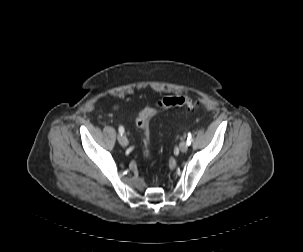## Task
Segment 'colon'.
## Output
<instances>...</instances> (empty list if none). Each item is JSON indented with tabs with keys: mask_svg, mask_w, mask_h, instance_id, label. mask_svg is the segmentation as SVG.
<instances>
[{
	"mask_svg": "<svg viewBox=\"0 0 303 252\" xmlns=\"http://www.w3.org/2000/svg\"><path fill=\"white\" fill-rule=\"evenodd\" d=\"M173 106H185L189 109H198L199 103L189 95H173L165 97L156 103L154 107H147L139 113L136 118L137 127L142 132L143 153L150 157V129L149 121L159 108H169Z\"/></svg>",
	"mask_w": 303,
	"mask_h": 252,
	"instance_id": "obj_1",
	"label": "colon"
}]
</instances>
